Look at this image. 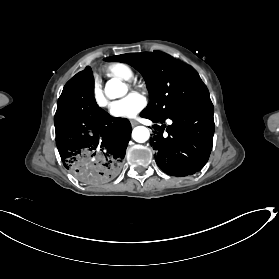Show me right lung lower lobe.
I'll return each mask as SVG.
<instances>
[{
	"label": "right lung lower lobe",
	"instance_id": "right-lung-lower-lobe-1",
	"mask_svg": "<svg viewBox=\"0 0 279 279\" xmlns=\"http://www.w3.org/2000/svg\"><path fill=\"white\" fill-rule=\"evenodd\" d=\"M54 123L63 165L79 181L101 185L119 175L131 137V124L127 119L111 117L98 107L89 66L64 86Z\"/></svg>",
	"mask_w": 279,
	"mask_h": 279
}]
</instances>
